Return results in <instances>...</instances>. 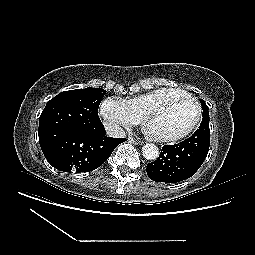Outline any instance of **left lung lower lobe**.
<instances>
[{"mask_svg": "<svg viewBox=\"0 0 255 255\" xmlns=\"http://www.w3.org/2000/svg\"><path fill=\"white\" fill-rule=\"evenodd\" d=\"M210 145L209 121L181 143L165 145L158 159L147 164V174L156 182L176 183L193 176L204 162Z\"/></svg>", "mask_w": 255, "mask_h": 255, "instance_id": "0a47b994", "label": "left lung lower lobe"}]
</instances>
